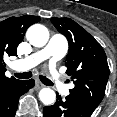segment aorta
Instances as JSON below:
<instances>
[{
    "label": "aorta",
    "instance_id": "aorta-1",
    "mask_svg": "<svg viewBox=\"0 0 117 117\" xmlns=\"http://www.w3.org/2000/svg\"><path fill=\"white\" fill-rule=\"evenodd\" d=\"M26 38L31 45L43 47L49 40V31L41 24H34L28 28ZM39 99L43 104L51 105L56 100V94L50 88H43L39 92Z\"/></svg>",
    "mask_w": 117,
    "mask_h": 117
}]
</instances>
